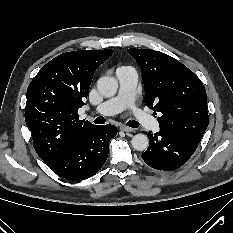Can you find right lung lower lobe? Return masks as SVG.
I'll return each instance as SVG.
<instances>
[{
    "label": "right lung lower lobe",
    "instance_id": "right-lung-lower-lobe-1",
    "mask_svg": "<svg viewBox=\"0 0 233 233\" xmlns=\"http://www.w3.org/2000/svg\"><path fill=\"white\" fill-rule=\"evenodd\" d=\"M117 134L114 125L95 126L78 138L64 152L45 162L57 175L68 180H84L104 165L109 142Z\"/></svg>",
    "mask_w": 233,
    "mask_h": 233
}]
</instances>
